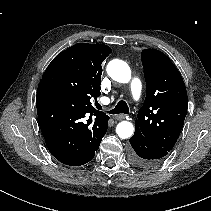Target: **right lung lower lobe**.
<instances>
[{"label": "right lung lower lobe", "instance_id": "98d812e1", "mask_svg": "<svg viewBox=\"0 0 211 211\" xmlns=\"http://www.w3.org/2000/svg\"><path fill=\"white\" fill-rule=\"evenodd\" d=\"M38 121L50 153L61 163H88L107 132L109 116L86 108L74 95L39 85Z\"/></svg>", "mask_w": 211, "mask_h": 211}]
</instances>
